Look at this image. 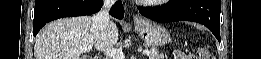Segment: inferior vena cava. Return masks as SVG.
Wrapping results in <instances>:
<instances>
[{"label":"inferior vena cava","mask_w":261,"mask_h":59,"mask_svg":"<svg viewBox=\"0 0 261 59\" xmlns=\"http://www.w3.org/2000/svg\"><path fill=\"white\" fill-rule=\"evenodd\" d=\"M115 0H104L103 6L99 12H97L92 18V27L99 31H104L109 21V10L114 5Z\"/></svg>","instance_id":"inferior-vena-cava-1"}]
</instances>
